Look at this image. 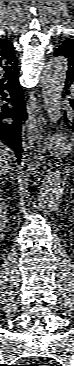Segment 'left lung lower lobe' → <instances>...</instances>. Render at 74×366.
<instances>
[{"label": "left lung lower lobe", "mask_w": 74, "mask_h": 366, "mask_svg": "<svg viewBox=\"0 0 74 366\" xmlns=\"http://www.w3.org/2000/svg\"><path fill=\"white\" fill-rule=\"evenodd\" d=\"M64 89L66 90V94H63V97L67 96L72 98L70 99V104L71 107L74 109V73L67 71ZM64 119L65 121H69L66 115L64 116ZM68 126L74 132V118L69 121Z\"/></svg>", "instance_id": "0a47b994"}]
</instances>
